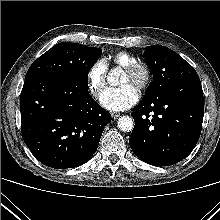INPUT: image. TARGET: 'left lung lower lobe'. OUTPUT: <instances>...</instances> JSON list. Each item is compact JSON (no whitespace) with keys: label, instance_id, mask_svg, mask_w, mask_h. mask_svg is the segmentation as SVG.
Listing matches in <instances>:
<instances>
[{"label":"left lung lower lobe","instance_id":"1","mask_svg":"<svg viewBox=\"0 0 220 220\" xmlns=\"http://www.w3.org/2000/svg\"><path fill=\"white\" fill-rule=\"evenodd\" d=\"M129 144L144 162L168 166L186 158L199 140L204 99L199 77L183 79L132 109Z\"/></svg>","mask_w":220,"mask_h":220}]
</instances>
